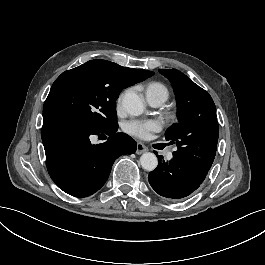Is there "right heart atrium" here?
Segmentation results:
<instances>
[{"label": "right heart atrium", "instance_id": "right-heart-atrium-1", "mask_svg": "<svg viewBox=\"0 0 265 265\" xmlns=\"http://www.w3.org/2000/svg\"><path fill=\"white\" fill-rule=\"evenodd\" d=\"M116 116H117V118H119V119H124V118H126V116H127V111H126V109H124V108H119V109H117V111H116Z\"/></svg>", "mask_w": 265, "mask_h": 265}]
</instances>
